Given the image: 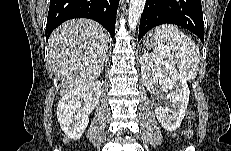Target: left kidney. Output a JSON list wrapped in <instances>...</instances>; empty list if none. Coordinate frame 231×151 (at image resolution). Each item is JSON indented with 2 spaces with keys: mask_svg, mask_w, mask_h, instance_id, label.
Wrapping results in <instances>:
<instances>
[{
  "mask_svg": "<svg viewBox=\"0 0 231 151\" xmlns=\"http://www.w3.org/2000/svg\"><path fill=\"white\" fill-rule=\"evenodd\" d=\"M140 64L143 84L146 87H153L159 83L167 93L170 105H158L155 108L158 121L168 131L177 130L186 115L189 102L190 90L186 80L176 69L155 55L145 52Z\"/></svg>",
  "mask_w": 231,
  "mask_h": 151,
  "instance_id": "obj_1",
  "label": "left kidney"
}]
</instances>
